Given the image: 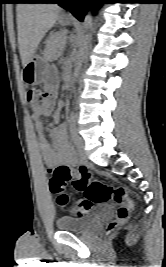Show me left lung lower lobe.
<instances>
[{"label": "left lung lower lobe", "mask_w": 166, "mask_h": 267, "mask_svg": "<svg viewBox=\"0 0 166 267\" xmlns=\"http://www.w3.org/2000/svg\"><path fill=\"white\" fill-rule=\"evenodd\" d=\"M48 3H57L69 10L77 19L83 21L88 8L97 10L104 0H51Z\"/></svg>", "instance_id": "obj_1"}]
</instances>
